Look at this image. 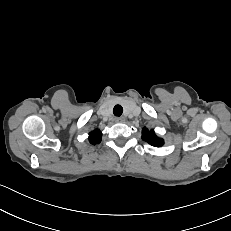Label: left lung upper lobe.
Returning <instances> with one entry per match:
<instances>
[{"mask_svg": "<svg viewBox=\"0 0 231 231\" xmlns=\"http://www.w3.org/2000/svg\"><path fill=\"white\" fill-rule=\"evenodd\" d=\"M142 139L156 147H160L164 144L163 139L158 138L154 130L149 131L147 128H143L142 130Z\"/></svg>", "mask_w": 231, "mask_h": 231, "instance_id": "obj_1", "label": "left lung upper lobe"}]
</instances>
